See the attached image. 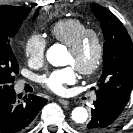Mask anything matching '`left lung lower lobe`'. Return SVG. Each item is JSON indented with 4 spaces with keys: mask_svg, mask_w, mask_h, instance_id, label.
<instances>
[{
    "mask_svg": "<svg viewBox=\"0 0 133 133\" xmlns=\"http://www.w3.org/2000/svg\"><path fill=\"white\" fill-rule=\"evenodd\" d=\"M97 99L91 110L92 118L87 125L82 126L84 133H98L113 123L126 106L106 94L97 93Z\"/></svg>",
    "mask_w": 133,
    "mask_h": 133,
    "instance_id": "1",
    "label": "left lung lower lobe"
}]
</instances>
